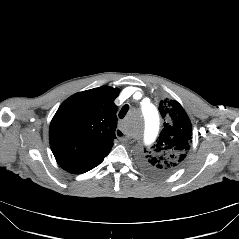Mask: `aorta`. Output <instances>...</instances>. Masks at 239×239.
<instances>
[{
    "instance_id": "1",
    "label": "aorta",
    "mask_w": 239,
    "mask_h": 239,
    "mask_svg": "<svg viewBox=\"0 0 239 239\" xmlns=\"http://www.w3.org/2000/svg\"><path fill=\"white\" fill-rule=\"evenodd\" d=\"M143 114V123L145 125V134L143 136L144 149H151L155 145L157 139V122L159 115L156 107L151 103H144L139 109Z\"/></svg>"
}]
</instances>
